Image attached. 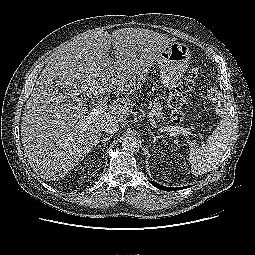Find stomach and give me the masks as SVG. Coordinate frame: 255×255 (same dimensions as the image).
Wrapping results in <instances>:
<instances>
[{
	"instance_id": "obj_1",
	"label": "stomach",
	"mask_w": 255,
	"mask_h": 255,
	"mask_svg": "<svg viewBox=\"0 0 255 255\" xmlns=\"http://www.w3.org/2000/svg\"><path fill=\"white\" fill-rule=\"evenodd\" d=\"M191 54L186 44L172 42L168 44L159 59L160 81L171 90L177 81L185 74L190 64Z\"/></svg>"
}]
</instances>
